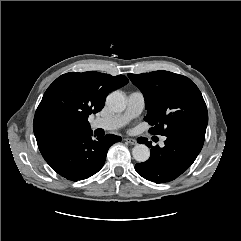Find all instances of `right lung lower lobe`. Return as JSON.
Returning a JSON list of instances; mask_svg holds the SVG:
<instances>
[{
	"mask_svg": "<svg viewBox=\"0 0 241 241\" xmlns=\"http://www.w3.org/2000/svg\"><path fill=\"white\" fill-rule=\"evenodd\" d=\"M92 131H68L45 137L39 141V150L50 167L71 181L86 179L104 165L107 151L121 137L108 134L96 140Z\"/></svg>",
	"mask_w": 241,
	"mask_h": 241,
	"instance_id": "98d812e1",
	"label": "right lung lower lobe"
}]
</instances>
